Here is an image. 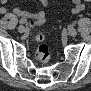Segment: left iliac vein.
I'll return each mask as SVG.
<instances>
[{
  "label": "left iliac vein",
  "mask_w": 91,
  "mask_h": 91,
  "mask_svg": "<svg viewBox=\"0 0 91 91\" xmlns=\"http://www.w3.org/2000/svg\"><path fill=\"white\" fill-rule=\"evenodd\" d=\"M68 34L72 37H75L77 35V31L73 28L70 29L69 27L67 28Z\"/></svg>",
  "instance_id": "obj_1"
}]
</instances>
